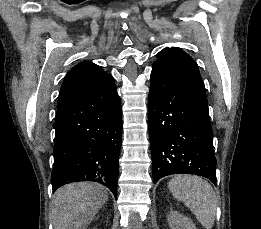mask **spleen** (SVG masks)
Listing matches in <instances>:
<instances>
[{"mask_svg": "<svg viewBox=\"0 0 261 229\" xmlns=\"http://www.w3.org/2000/svg\"><path fill=\"white\" fill-rule=\"evenodd\" d=\"M168 189L196 215L202 227L212 229L216 219V193L210 183L201 177L176 175L169 181Z\"/></svg>", "mask_w": 261, "mask_h": 229, "instance_id": "obj_1", "label": "spleen"}]
</instances>
